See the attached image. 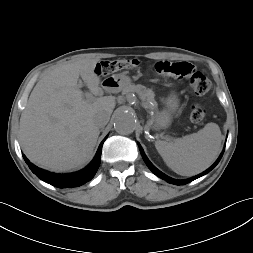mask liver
<instances>
[{
    "instance_id": "6515ba94",
    "label": "liver",
    "mask_w": 253,
    "mask_h": 253,
    "mask_svg": "<svg viewBox=\"0 0 253 253\" xmlns=\"http://www.w3.org/2000/svg\"><path fill=\"white\" fill-rule=\"evenodd\" d=\"M99 59L68 62L45 74L32 90L20 118L19 137L27 157L39 166L65 171L88 161L100 130L95 118L111 115L114 96L87 102L79 89V77L94 95H101L95 74Z\"/></svg>"
}]
</instances>
